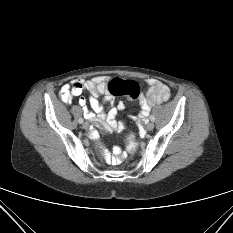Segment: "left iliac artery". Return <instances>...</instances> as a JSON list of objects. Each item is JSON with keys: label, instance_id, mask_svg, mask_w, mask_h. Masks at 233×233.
<instances>
[{"label": "left iliac artery", "instance_id": "44dca946", "mask_svg": "<svg viewBox=\"0 0 233 233\" xmlns=\"http://www.w3.org/2000/svg\"><path fill=\"white\" fill-rule=\"evenodd\" d=\"M150 119H151V121H153L154 120V116H150Z\"/></svg>", "mask_w": 233, "mask_h": 233}]
</instances>
